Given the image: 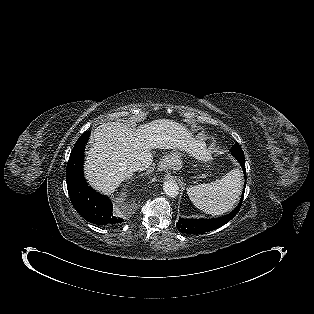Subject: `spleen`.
<instances>
[{
  "mask_svg": "<svg viewBox=\"0 0 314 314\" xmlns=\"http://www.w3.org/2000/svg\"><path fill=\"white\" fill-rule=\"evenodd\" d=\"M241 188V172L233 169L221 179L189 187L187 194L199 210L211 215H222L236 204Z\"/></svg>",
  "mask_w": 314,
  "mask_h": 314,
  "instance_id": "spleen-1",
  "label": "spleen"
}]
</instances>
